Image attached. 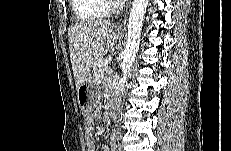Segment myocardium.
Instances as JSON below:
<instances>
[{
  "label": "myocardium",
  "mask_w": 231,
  "mask_h": 151,
  "mask_svg": "<svg viewBox=\"0 0 231 151\" xmlns=\"http://www.w3.org/2000/svg\"><path fill=\"white\" fill-rule=\"evenodd\" d=\"M106 8L109 12L114 13L119 9V4L114 1L108 0L106 1Z\"/></svg>",
  "instance_id": "obj_1"
}]
</instances>
